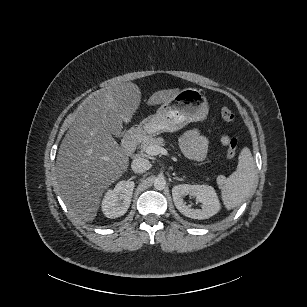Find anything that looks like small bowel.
Wrapping results in <instances>:
<instances>
[{
  "label": "small bowel",
  "instance_id": "small-bowel-1",
  "mask_svg": "<svg viewBox=\"0 0 307 307\" xmlns=\"http://www.w3.org/2000/svg\"><path fill=\"white\" fill-rule=\"evenodd\" d=\"M230 140L231 138L228 135H223L221 137V144L229 146ZM179 143L187 158L198 162L206 158L207 139L198 129H191L185 132L180 137Z\"/></svg>",
  "mask_w": 307,
  "mask_h": 307
}]
</instances>
